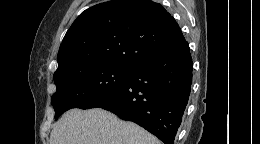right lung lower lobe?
<instances>
[{"mask_svg": "<svg viewBox=\"0 0 260 144\" xmlns=\"http://www.w3.org/2000/svg\"><path fill=\"white\" fill-rule=\"evenodd\" d=\"M188 42L136 63L126 83L92 108L137 123L164 144H174L192 84Z\"/></svg>", "mask_w": 260, "mask_h": 144, "instance_id": "obj_1", "label": "right lung lower lobe"}]
</instances>
